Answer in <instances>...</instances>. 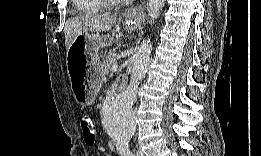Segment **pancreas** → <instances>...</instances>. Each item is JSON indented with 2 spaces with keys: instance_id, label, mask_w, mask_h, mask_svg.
<instances>
[{
  "instance_id": "1",
  "label": "pancreas",
  "mask_w": 261,
  "mask_h": 156,
  "mask_svg": "<svg viewBox=\"0 0 261 156\" xmlns=\"http://www.w3.org/2000/svg\"><path fill=\"white\" fill-rule=\"evenodd\" d=\"M117 64V54L114 52L109 53L105 62L101 66V74L105 75L111 71L112 65Z\"/></svg>"
}]
</instances>
